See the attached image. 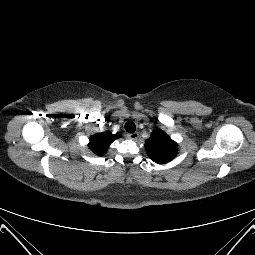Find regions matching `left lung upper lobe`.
<instances>
[{"label":"left lung upper lobe","instance_id":"left-lung-upper-lobe-1","mask_svg":"<svg viewBox=\"0 0 255 255\" xmlns=\"http://www.w3.org/2000/svg\"><path fill=\"white\" fill-rule=\"evenodd\" d=\"M145 148L150 159L158 164L171 161L178 151L177 143L159 129L153 131L145 141Z\"/></svg>","mask_w":255,"mask_h":255}]
</instances>
